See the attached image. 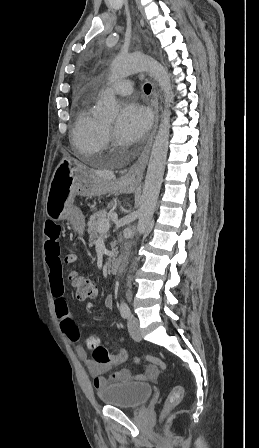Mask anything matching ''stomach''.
I'll list each match as a JSON object with an SVG mask.
<instances>
[{"mask_svg": "<svg viewBox=\"0 0 259 448\" xmlns=\"http://www.w3.org/2000/svg\"><path fill=\"white\" fill-rule=\"evenodd\" d=\"M75 162L72 158H62L49 184L46 200V214L51 220L72 221L78 234L85 230L86 213L80 212L77 206H67L73 202L75 192V176L73 174Z\"/></svg>", "mask_w": 259, "mask_h": 448, "instance_id": "stomach-1", "label": "stomach"}]
</instances>
